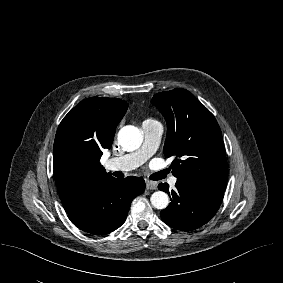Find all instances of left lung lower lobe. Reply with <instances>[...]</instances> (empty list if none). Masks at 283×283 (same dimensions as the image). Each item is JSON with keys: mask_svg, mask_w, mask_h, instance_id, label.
Segmentation results:
<instances>
[{"mask_svg": "<svg viewBox=\"0 0 283 283\" xmlns=\"http://www.w3.org/2000/svg\"><path fill=\"white\" fill-rule=\"evenodd\" d=\"M175 187V191L169 192L168 184L158 185L160 190L172 196L169 206L162 210L161 218L168 226L181 231H192L207 223L217 212L224 196L182 179H177Z\"/></svg>", "mask_w": 283, "mask_h": 283, "instance_id": "1", "label": "left lung lower lobe"}]
</instances>
